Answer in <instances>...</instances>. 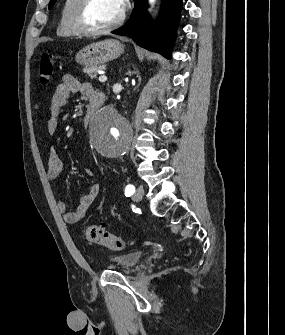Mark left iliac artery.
<instances>
[{
  "label": "left iliac artery",
  "mask_w": 285,
  "mask_h": 335,
  "mask_svg": "<svg viewBox=\"0 0 285 335\" xmlns=\"http://www.w3.org/2000/svg\"><path fill=\"white\" fill-rule=\"evenodd\" d=\"M135 192V187L131 184L127 185L125 188V196L129 197Z\"/></svg>",
  "instance_id": "44dca946"
}]
</instances>
